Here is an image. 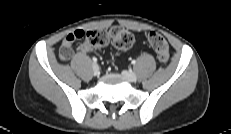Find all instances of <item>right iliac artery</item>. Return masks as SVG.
Wrapping results in <instances>:
<instances>
[{
  "instance_id": "obj_1",
  "label": "right iliac artery",
  "mask_w": 231,
  "mask_h": 134,
  "mask_svg": "<svg viewBox=\"0 0 231 134\" xmlns=\"http://www.w3.org/2000/svg\"><path fill=\"white\" fill-rule=\"evenodd\" d=\"M92 60H93L94 63L97 62V58H95V57H93Z\"/></svg>"
}]
</instances>
